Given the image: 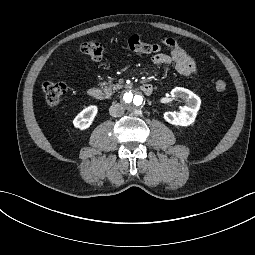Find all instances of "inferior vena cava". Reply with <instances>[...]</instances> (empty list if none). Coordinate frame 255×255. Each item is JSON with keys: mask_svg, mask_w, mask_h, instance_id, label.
<instances>
[{"mask_svg": "<svg viewBox=\"0 0 255 255\" xmlns=\"http://www.w3.org/2000/svg\"><path fill=\"white\" fill-rule=\"evenodd\" d=\"M124 114V108L118 104L113 103L109 108V115L112 117H120Z\"/></svg>", "mask_w": 255, "mask_h": 255, "instance_id": "inferior-vena-cava-1", "label": "inferior vena cava"}]
</instances>
